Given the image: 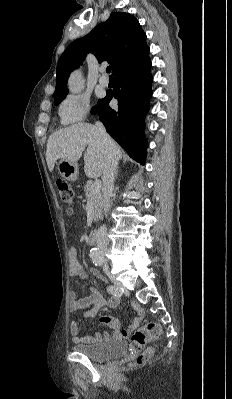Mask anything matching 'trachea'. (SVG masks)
Segmentation results:
<instances>
[{
	"mask_svg": "<svg viewBox=\"0 0 232 399\" xmlns=\"http://www.w3.org/2000/svg\"><path fill=\"white\" fill-rule=\"evenodd\" d=\"M106 72L110 73L111 72V66L107 67ZM112 77V76H111Z\"/></svg>",
	"mask_w": 232,
	"mask_h": 399,
	"instance_id": "3493384b",
	"label": "trachea"
}]
</instances>
